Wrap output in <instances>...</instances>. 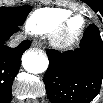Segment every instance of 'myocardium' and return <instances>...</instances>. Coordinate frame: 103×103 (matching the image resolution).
Listing matches in <instances>:
<instances>
[{"instance_id":"myocardium-1","label":"myocardium","mask_w":103,"mask_h":103,"mask_svg":"<svg viewBox=\"0 0 103 103\" xmlns=\"http://www.w3.org/2000/svg\"><path fill=\"white\" fill-rule=\"evenodd\" d=\"M80 18L82 23L81 26L75 30H70L71 22ZM86 28V19L80 14H70L63 19L56 28L51 32V40L53 44L57 46H67L74 43L84 32Z\"/></svg>"}]
</instances>
